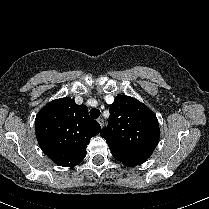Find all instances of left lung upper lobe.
<instances>
[{"label": "left lung upper lobe", "instance_id": "obj_1", "mask_svg": "<svg viewBox=\"0 0 209 209\" xmlns=\"http://www.w3.org/2000/svg\"><path fill=\"white\" fill-rule=\"evenodd\" d=\"M112 155L127 166L144 163L158 144L154 113L135 98L119 95L110 106L108 126L101 131Z\"/></svg>", "mask_w": 209, "mask_h": 209}]
</instances>
